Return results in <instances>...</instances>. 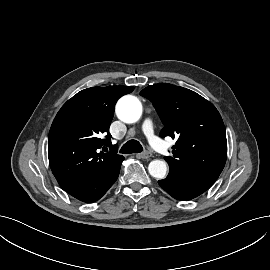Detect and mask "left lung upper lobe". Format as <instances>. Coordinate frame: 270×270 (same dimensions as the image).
Listing matches in <instances>:
<instances>
[{
	"instance_id": "1",
	"label": "left lung upper lobe",
	"mask_w": 270,
	"mask_h": 270,
	"mask_svg": "<svg viewBox=\"0 0 270 270\" xmlns=\"http://www.w3.org/2000/svg\"><path fill=\"white\" fill-rule=\"evenodd\" d=\"M140 94L153 103L164 124L160 137L177 138L173 156L165 157L170 170L217 179L226 162L227 140L215 106L194 91L168 83L150 85Z\"/></svg>"
}]
</instances>
